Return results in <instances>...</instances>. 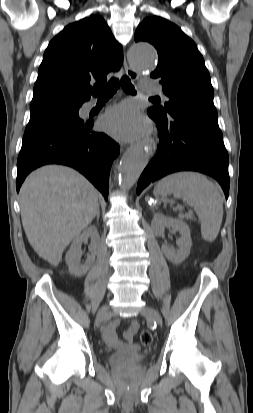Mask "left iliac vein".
<instances>
[{
	"label": "left iliac vein",
	"mask_w": 253,
	"mask_h": 413,
	"mask_svg": "<svg viewBox=\"0 0 253 413\" xmlns=\"http://www.w3.org/2000/svg\"><path fill=\"white\" fill-rule=\"evenodd\" d=\"M141 314L149 319H152L158 325L162 324V317L160 313L152 307H148V306L144 307L141 311Z\"/></svg>",
	"instance_id": "1"
}]
</instances>
